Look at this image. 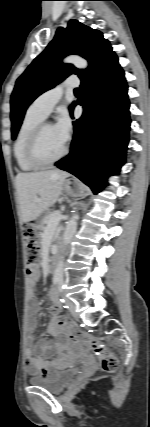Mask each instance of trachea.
I'll return each mask as SVG.
<instances>
[{
    "instance_id": "3493384b",
    "label": "trachea",
    "mask_w": 150,
    "mask_h": 427,
    "mask_svg": "<svg viewBox=\"0 0 150 427\" xmlns=\"http://www.w3.org/2000/svg\"><path fill=\"white\" fill-rule=\"evenodd\" d=\"M75 92H76V93H78V92H79V89H78V88H76V89H75Z\"/></svg>"
}]
</instances>
